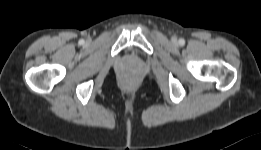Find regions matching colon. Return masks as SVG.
I'll return each instance as SVG.
<instances>
[{"label":"colon","mask_w":261,"mask_h":150,"mask_svg":"<svg viewBox=\"0 0 261 150\" xmlns=\"http://www.w3.org/2000/svg\"><path fill=\"white\" fill-rule=\"evenodd\" d=\"M133 83H134V80L132 78H128L126 80V84L129 85V86H131Z\"/></svg>","instance_id":"colon-1"}]
</instances>
